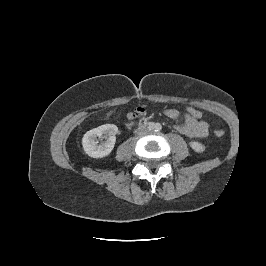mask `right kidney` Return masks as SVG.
Here are the masks:
<instances>
[{
    "mask_svg": "<svg viewBox=\"0 0 266 266\" xmlns=\"http://www.w3.org/2000/svg\"><path fill=\"white\" fill-rule=\"evenodd\" d=\"M118 127L114 124H104L86 132L82 139L85 153L92 158H103L111 153L114 148ZM105 138L106 141L98 144L97 138Z\"/></svg>",
    "mask_w": 266,
    "mask_h": 266,
    "instance_id": "1",
    "label": "right kidney"
}]
</instances>
